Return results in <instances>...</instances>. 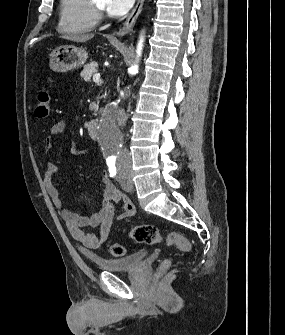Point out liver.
Returning a JSON list of instances; mask_svg holds the SVG:
<instances>
[{
	"instance_id": "obj_1",
	"label": "liver",
	"mask_w": 285,
	"mask_h": 335,
	"mask_svg": "<svg viewBox=\"0 0 285 335\" xmlns=\"http://www.w3.org/2000/svg\"><path fill=\"white\" fill-rule=\"evenodd\" d=\"M60 38H64V40H72V42H87V40L94 38V34H84V36L72 34V36H60Z\"/></svg>"
}]
</instances>
